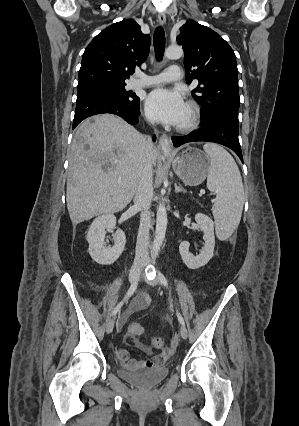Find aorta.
Listing matches in <instances>:
<instances>
[{
    "label": "aorta",
    "instance_id": "aorta-1",
    "mask_svg": "<svg viewBox=\"0 0 299 426\" xmlns=\"http://www.w3.org/2000/svg\"><path fill=\"white\" fill-rule=\"evenodd\" d=\"M183 55V49L181 46L178 45H171L165 50V56L168 59L176 60L181 58ZM167 228V211L166 207L163 203H160L157 209V215H156V232H155V238L153 241L151 256L153 259H156L158 256V253L160 251V248L162 246V243L165 238Z\"/></svg>",
    "mask_w": 299,
    "mask_h": 426
}]
</instances>
